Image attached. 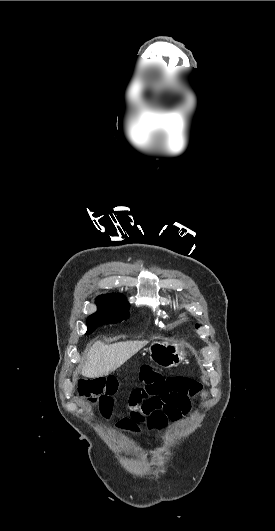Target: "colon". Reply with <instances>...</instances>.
Returning a JSON list of instances; mask_svg holds the SVG:
<instances>
[{
	"label": "colon",
	"mask_w": 275,
	"mask_h": 531,
	"mask_svg": "<svg viewBox=\"0 0 275 531\" xmlns=\"http://www.w3.org/2000/svg\"><path fill=\"white\" fill-rule=\"evenodd\" d=\"M104 386L105 381L99 375H94L90 379L81 378L76 383V396L82 402L91 401L98 405V398L102 396Z\"/></svg>",
	"instance_id": "colon-1"
}]
</instances>
